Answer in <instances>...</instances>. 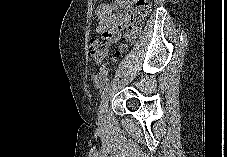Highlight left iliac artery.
<instances>
[{
  "label": "left iliac artery",
  "mask_w": 227,
  "mask_h": 157,
  "mask_svg": "<svg viewBox=\"0 0 227 157\" xmlns=\"http://www.w3.org/2000/svg\"><path fill=\"white\" fill-rule=\"evenodd\" d=\"M110 87L106 86L101 90V99H103L105 97V95L109 92Z\"/></svg>",
  "instance_id": "obj_1"
}]
</instances>
